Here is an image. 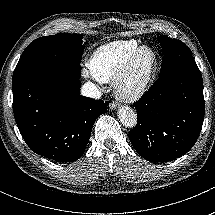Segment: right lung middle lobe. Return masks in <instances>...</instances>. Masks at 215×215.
<instances>
[{"instance_id": "1", "label": "right lung middle lobe", "mask_w": 215, "mask_h": 215, "mask_svg": "<svg viewBox=\"0 0 215 215\" xmlns=\"http://www.w3.org/2000/svg\"><path fill=\"white\" fill-rule=\"evenodd\" d=\"M82 35L56 34L34 40L22 53L13 82L29 75L51 73L80 78Z\"/></svg>"}]
</instances>
